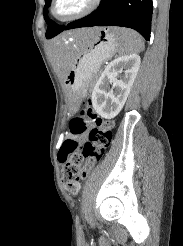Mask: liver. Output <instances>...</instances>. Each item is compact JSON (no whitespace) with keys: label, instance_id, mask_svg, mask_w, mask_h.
Returning a JSON list of instances; mask_svg holds the SVG:
<instances>
[{"label":"liver","instance_id":"6515ba94","mask_svg":"<svg viewBox=\"0 0 183 246\" xmlns=\"http://www.w3.org/2000/svg\"><path fill=\"white\" fill-rule=\"evenodd\" d=\"M98 29L99 28H90L71 31L55 39L50 44L51 57L53 59V62L55 63L58 75L61 80H64L67 77L72 67L73 61V56L69 52H67L64 47L63 41L67 39L68 36L76 37L84 41L90 40L93 38Z\"/></svg>","mask_w":183,"mask_h":246}]
</instances>
